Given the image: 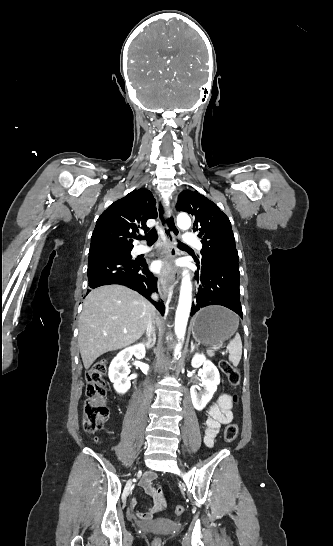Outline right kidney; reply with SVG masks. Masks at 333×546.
<instances>
[{
	"mask_svg": "<svg viewBox=\"0 0 333 546\" xmlns=\"http://www.w3.org/2000/svg\"><path fill=\"white\" fill-rule=\"evenodd\" d=\"M145 353V347L140 343L123 349L114 357L109 367V379L118 393L124 394L131 387V382L128 378L130 374L128 361L132 356H135L137 359H143Z\"/></svg>",
	"mask_w": 333,
	"mask_h": 546,
	"instance_id": "right-kidney-1",
	"label": "right kidney"
}]
</instances>
